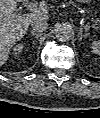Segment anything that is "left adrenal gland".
Here are the masks:
<instances>
[{
    "mask_svg": "<svg viewBox=\"0 0 100 118\" xmlns=\"http://www.w3.org/2000/svg\"><path fill=\"white\" fill-rule=\"evenodd\" d=\"M78 36H79V41H82V38H86L87 34H83L82 33V29L80 28L79 29V33H78Z\"/></svg>",
    "mask_w": 100,
    "mask_h": 118,
    "instance_id": "left-adrenal-gland-1",
    "label": "left adrenal gland"
}]
</instances>
